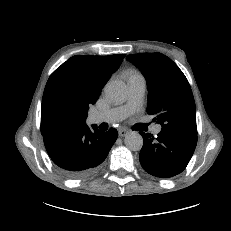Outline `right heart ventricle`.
<instances>
[{
    "label": "right heart ventricle",
    "instance_id": "1",
    "mask_svg": "<svg viewBox=\"0 0 231 231\" xmlns=\"http://www.w3.org/2000/svg\"><path fill=\"white\" fill-rule=\"evenodd\" d=\"M125 76L128 82L144 79L143 76L136 70H128L125 73Z\"/></svg>",
    "mask_w": 231,
    "mask_h": 231
}]
</instances>
